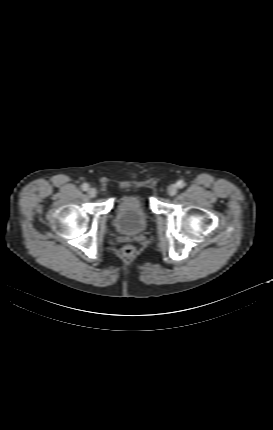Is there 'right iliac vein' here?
Instances as JSON below:
<instances>
[{
  "instance_id": "obj_1",
  "label": "right iliac vein",
  "mask_w": 273,
  "mask_h": 430,
  "mask_svg": "<svg viewBox=\"0 0 273 430\" xmlns=\"http://www.w3.org/2000/svg\"><path fill=\"white\" fill-rule=\"evenodd\" d=\"M87 194L90 198H94L97 194V190L95 188H89Z\"/></svg>"
}]
</instances>
